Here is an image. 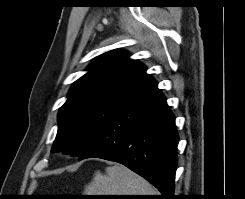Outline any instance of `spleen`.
<instances>
[{
	"instance_id": "spleen-1",
	"label": "spleen",
	"mask_w": 245,
	"mask_h": 199,
	"mask_svg": "<svg viewBox=\"0 0 245 199\" xmlns=\"http://www.w3.org/2000/svg\"><path fill=\"white\" fill-rule=\"evenodd\" d=\"M105 172L95 173L85 188L86 195H158L149 182L121 164L109 166Z\"/></svg>"
}]
</instances>
